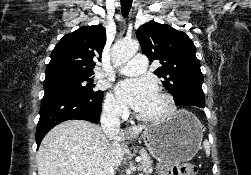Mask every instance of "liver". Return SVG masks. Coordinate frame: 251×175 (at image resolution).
<instances>
[{
	"mask_svg": "<svg viewBox=\"0 0 251 175\" xmlns=\"http://www.w3.org/2000/svg\"><path fill=\"white\" fill-rule=\"evenodd\" d=\"M145 125H133L106 135L102 127L84 119L55 125L37 151L38 175H102L104 167H117L124 159L121 141L137 137Z\"/></svg>",
	"mask_w": 251,
	"mask_h": 175,
	"instance_id": "6515ba94",
	"label": "liver"
}]
</instances>
